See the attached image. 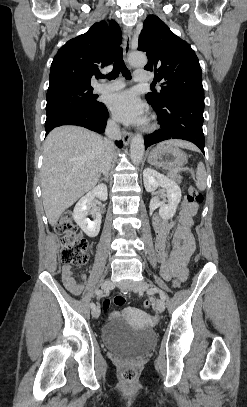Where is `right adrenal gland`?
Listing matches in <instances>:
<instances>
[{
  "label": "right adrenal gland",
  "instance_id": "2a0ac1e0",
  "mask_svg": "<svg viewBox=\"0 0 247 407\" xmlns=\"http://www.w3.org/2000/svg\"><path fill=\"white\" fill-rule=\"evenodd\" d=\"M101 181H105V182L108 183V181H109V176H108V174H106L103 178H101Z\"/></svg>",
  "mask_w": 247,
  "mask_h": 407
}]
</instances>
